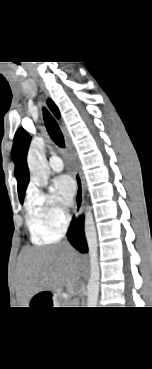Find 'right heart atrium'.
I'll use <instances>...</instances> for the list:
<instances>
[{"instance_id":"d8ad5b80","label":"right heart atrium","mask_w":152,"mask_h":369,"mask_svg":"<svg viewBox=\"0 0 152 369\" xmlns=\"http://www.w3.org/2000/svg\"><path fill=\"white\" fill-rule=\"evenodd\" d=\"M29 205L53 235H60L70 221L68 210L56 195L34 188L29 196Z\"/></svg>"}]
</instances>
